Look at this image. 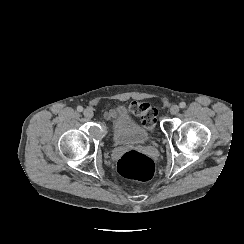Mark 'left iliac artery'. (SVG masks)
Instances as JSON below:
<instances>
[{"label":"left iliac artery","mask_w":244,"mask_h":244,"mask_svg":"<svg viewBox=\"0 0 244 244\" xmlns=\"http://www.w3.org/2000/svg\"><path fill=\"white\" fill-rule=\"evenodd\" d=\"M179 106H180L181 108H185V107H186V103H185V102H181V103L179 104Z\"/></svg>","instance_id":"obj_1"}]
</instances>
